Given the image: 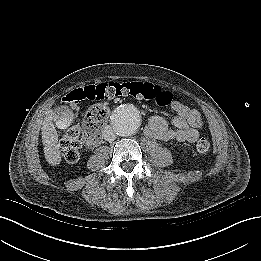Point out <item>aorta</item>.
<instances>
[{
	"label": "aorta",
	"mask_w": 261,
	"mask_h": 261,
	"mask_svg": "<svg viewBox=\"0 0 261 261\" xmlns=\"http://www.w3.org/2000/svg\"><path fill=\"white\" fill-rule=\"evenodd\" d=\"M141 112L131 103L118 106L111 114V123L114 131L120 136L134 134L141 125Z\"/></svg>",
	"instance_id": "762f6f07"
}]
</instances>
